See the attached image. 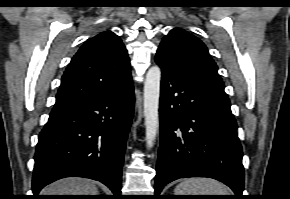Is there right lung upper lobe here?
<instances>
[{"label": "right lung upper lobe", "mask_w": 290, "mask_h": 199, "mask_svg": "<svg viewBox=\"0 0 290 199\" xmlns=\"http://www.w3.org/2000/svg\"><path fill=\"white\" fill-rule=\"evenodd\" d=\"M132 82L127 50L111 31L87 40L62 76L53 109L97 99Z\"/></svg>", "instance_id": "obj_1"}]
</instances>
